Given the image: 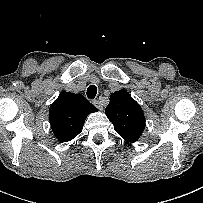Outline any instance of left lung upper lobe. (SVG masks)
I'll list each match as a JSON object with an SVG mask.
<instances>
[{"instance_id": "5c2ea615", "label": "left lung upper lobe", "mask_w": 203, "mask_h": 203, "mask_svg": "<svg viewBox=\"0 0 203 203\" xmlns=\"http://www.w3.org/2000/svg\"><path fill=\"white\" fill-rule=\"evenodd\" d=\"M115 131L126 142H135L145 129V116L140 105L126 90L114 92L105 109Z\"/></svg>"}]
</instances>
